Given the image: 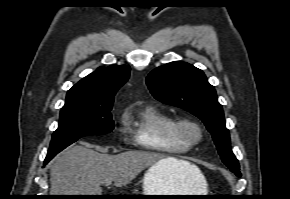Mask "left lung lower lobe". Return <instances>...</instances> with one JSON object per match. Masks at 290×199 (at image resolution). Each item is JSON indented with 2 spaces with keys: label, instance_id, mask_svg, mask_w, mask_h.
Segmentation results:
<instances>
[{
  "label": "left lung lower lobe",
  "instance_id": "left-lung-lower-lobe-1",
  "mask_svg": "<svg viewBox=\"0 0 290 199\" xmlns=\"http://www.w3.org/2000/svg\"><path fill=\"white\" fill-rule=\"evenodd\" d=\"M231 171H232L233 173H235L238 177L241 176V173H240L239 169H231Z\"/></svg>",
  "mask_w": 290,
  "mask_h": 199
}]
</instances>
